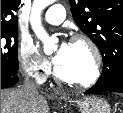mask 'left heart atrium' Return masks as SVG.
<instances>
[{
    "label": "left heart atrium",
    "mask_w": 123,
    "mask_h": 113,
    "mask_svg": "<svg viewBox=\"0 0 123 113\" xmlns=\"http://www.w3.org/2000/svg\"><path fill=\"white\" fill-rule=\"evenodd\" d=\"M68 47H69V45L67 43H62L58 47V49L53 57V61L55 64L58 65L65 59L67 52H68Z\"/></svg>",
    "instance_id": "obj_1"
}]
</instances>
